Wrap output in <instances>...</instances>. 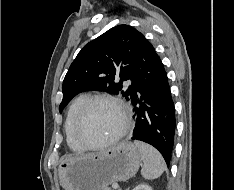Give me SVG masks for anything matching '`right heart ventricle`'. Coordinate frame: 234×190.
Masks as SVG:
<instances>
[{
    "label": "right heart ventricle",
    "mask_w": 234,
    "mask_h": 190,
    "mask_svg": "<svg viewBox=\"0 0 234 190\" xmlns=\"http://www.w3.org/2000/svg\"><path fill=\"white\" fill-rule=\"evenodd\" d=\"M86 99L87 96L85 95L77 97L71 103L65 120L64 131L66 135L67 144L69 148L75 152H82L85 150V148L75 138L74 126L77 114Z\"/></svg>",
    "instance_id": "obj_1"
}]
</instances>
